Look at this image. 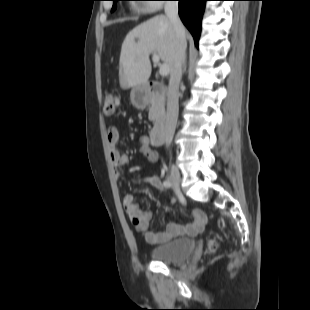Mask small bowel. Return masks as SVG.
I'll list each match as a JSON object with an SVG mask.
<instances>
[{
  "mask_svg": "<svg viewBox=\"0 0 310 310\" xmlns=\"http://www.w3.org/2000/svg\"><path fill=\"white\" fill-rule=\"evenodd\" d=\"M118 137L119 135L117 128L114 126L109 127L107 131V140L110 147V159L116 179L121 177L123 167L129 162L128 156L117 147ZM138 145L140 151L150 162H158L159 155L150 147L147 136H140L138 138ZM135 183H149L160 190L166 189L161 178L157 175L148 176L145 178L137 177L135 179ZM174 201L175 199L172 200V202ZM122 204L126 212L129 214L136 231L144 233L146 241L150 244H163L171 241L183 233L189 235L196 234L204 229L207 222L205 213L197 209L193 211V220L190 224L183 226L176 223H168L162 230L153 231L150 229L151 213L144 211L141 205L134 201L131 194H125L123 196Z\"/></svg>",
  "mask_w": 310,
  "mask_h": 310,
  "instance_id": "1",
  "label": "small bowel"
}]
</instances>
